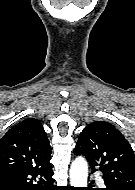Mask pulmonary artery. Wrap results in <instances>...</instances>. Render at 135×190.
<instances>
[{"label":"pulmonary artery","mask_w":135,"mask_h":190,"mask_svg":"<svg viewBox=\"0 0 135 190\" xmlns=\"http://www.w3.org/2000/svg\"><path fill=\"white\" fill-rule=\"evenodd\" d=\"M97 180H98V182H99V184H100V185H102V184H103V181H102V179H101L100 177H98V179H97Z\"/></svg>","instance_id":"e3ab8cb5"}]
</instances>
